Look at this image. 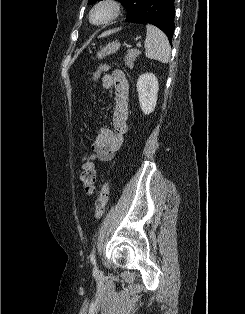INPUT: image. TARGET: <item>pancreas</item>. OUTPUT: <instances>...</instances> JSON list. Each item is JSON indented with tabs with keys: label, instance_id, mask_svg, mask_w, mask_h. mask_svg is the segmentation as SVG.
<instances>
[{
	"label": "pancreas",
	"instance_id": "1",
	"mask_svg": "<svg viewBox=\"0 0 245 314\" xmlns=\"http://www.w3.org/2000/svg\"><path fill=\"white\" fill-rule=\"evenodd\" d=\"M140 55V52L138 50H128L127 54L124 58L125 64L130 67L133 68L134 65V61L136 59V57H138Z\"/></svg>",
	"mask_w": 245,
	"mask_h": 314
}]
</instances>
